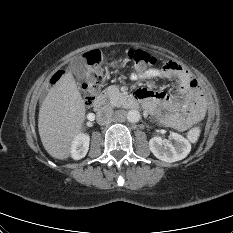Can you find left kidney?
Returning a JSON list of instances; mask_svg holds the SVG:
<instances>
[{"label": "left kidney", "mask_w": 233, "mask_h": 233, "mask_svg": "<svg viewBox=\"0 0 233 233\" xmlns=\"http://www.w3.org/2000/svg\"><path fill=\"white\" fill-rule=\"evenodd\" d=\"M170 140L153 137L149 141V148L153 155L164 162L172 163L184 159L191 150V144L182 135L171 132Z\"/></svg>", "instance_id": "left-kidney-1"}]
</instances>
